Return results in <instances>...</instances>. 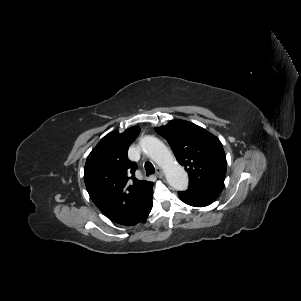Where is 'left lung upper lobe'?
Returning a JSON list of instances; mask_svg holds the SVG:
<instances>
[{"label": "left lung upper lobe", "mask_w": 301, "mask_h": 301, "mask_svg": "<svg viewBox=\"0 0 301 301\" xmlns=\"http://www.w3.org/2000/svg\"><path fill=\"white\" fill-rule=\"evenodd\" d=\"M155 131L168 141L176 159L189 173V186L220 193L226 156L216 136L183 120H173Z\"/></svg>", "instance_id": "1"}]
</instances>
